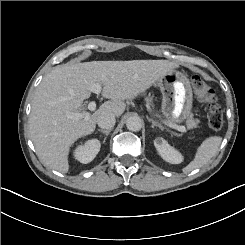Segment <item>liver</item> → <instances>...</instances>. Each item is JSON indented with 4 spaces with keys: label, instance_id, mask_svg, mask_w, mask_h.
I'll return each mask as SVG.
<instances>
[{
    "label": "liver",
    "instance_id": "liver-1",
    "mask_svg": "<svg viewBox=\"0 0 245 245\" xmlns=\"http://www.w3.org/2000/svg\"><path fill=\"white\" fill-rule=\"evenodd\" d=\"M176 66L168 60L90 61L66 63L51 70L34 95L29 129L38 157L43 164L61 173L68 170L69 146L94 131L102 112L119 116L122 101L144 92L162 74ZM101 83L102 96L111 98L87 118L73 120L67 113L78 112L88 87Z\"/></svg>",
    "mask_w": 245,
    "mask_h": 245
}]
</instances>
